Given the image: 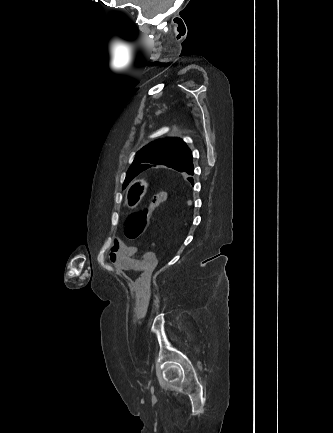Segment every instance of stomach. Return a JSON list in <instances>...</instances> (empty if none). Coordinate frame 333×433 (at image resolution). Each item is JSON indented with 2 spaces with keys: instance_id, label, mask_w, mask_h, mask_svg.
Segmentation results:
<instances>
[{
  "instance_id": "obj_1",
  "label": "stomach",
  "mask_w": 333,
  "mask_h": 433,
  "mask_svg": "<svg viewBox=\"0 0 333 433\" xmlns=\"http://www.w3.org/2000/svg\"><path fill=\"white\" fill-rule=\"evenodd\" d=\"M147 188H148V183L144 179L131 183L127 187L126 206L129 209L136 208L138 204L141 202V200L143 199V197L145 196L147 192Z\"/></svg>"
}]
</instances>
